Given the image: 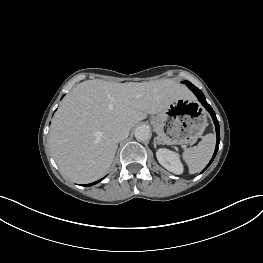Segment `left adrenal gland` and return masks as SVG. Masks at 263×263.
I'll return each mask as SVG.
<instances>
[{
	"mask_svg": "<svg viewBox=\"0 0 263 263\" xmlns=\"http://www.w3.org/2000/svg\"><path fill=\"white\" fill-rule=\"evenodd\" d=\"M153 144H154V148H156V145L161 143L160 141H158V139L154 138Z\"/></svg>",
	"mask_w": 263,
	"mask_h": 263,
	"instance_id": "left-adrenal-gland-1",
	"label": "left adrenal gland"
}]
</instances>
